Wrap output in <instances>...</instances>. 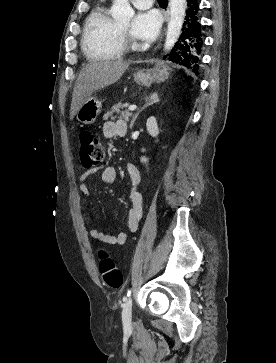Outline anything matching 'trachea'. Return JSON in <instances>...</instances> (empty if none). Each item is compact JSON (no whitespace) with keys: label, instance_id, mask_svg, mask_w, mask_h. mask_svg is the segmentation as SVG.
Returning <instances> with one entry per match:
<instances>
[{"label":"trachea","instance_id":"trachea-1","mask_svg":"<svg viewBox=\"0 0 276 363\" xmlns=\"http://www.w3.org/2000/svg\"><path fill=\"white\" fill-rule=\"evenodd\" d=\"M159 4L161 5H167L168 0H158Z\"/></svg>","mask_w":276,"mask_h":363}]
</instances>
